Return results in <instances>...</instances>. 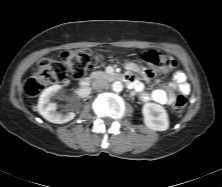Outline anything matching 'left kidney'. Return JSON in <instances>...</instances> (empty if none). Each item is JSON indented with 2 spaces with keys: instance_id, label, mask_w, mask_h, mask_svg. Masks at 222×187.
I'll return each mask as SVG.
<instances>
[{
  "instance_id": "left-kidney-1",
  "label": "left kidney",
  "mask_w": 222,
  "mask_h": 187,
  "mask_svg": "<svg viewBox=\"0 0 222 187\" xmlns=\"http://www.w3.org/2000/svg\"><path fill=\"white\" fill-rule=\"evenodd\" d=\"M145 125L155 131H165L169 128L168 114L165 108L156 103H146L142 108Z\"/></svg>"
}]
</instances>
